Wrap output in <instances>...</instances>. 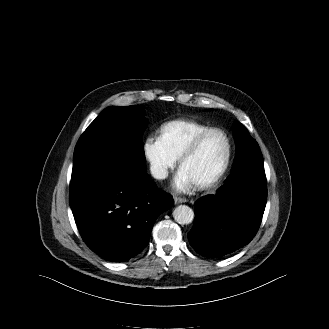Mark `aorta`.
I'll return each instance as SVG.
<instances>
[{
	"mask_svg": "<svg viewBox=\"0 0 329 329\" xmlns=\"http://www.w3.org/2000/svg\"><path fill=\"white\" fill-rule=\"evenodd\" d=\"M173 217L181 225L190 224L194 219V212L187 205H179L174 209Z\"/></svg>",
	"mask_w": 329,
	"mask_h": 329,
	"instance_id": "1",
	"label": "aorta"
}]
</instances>
